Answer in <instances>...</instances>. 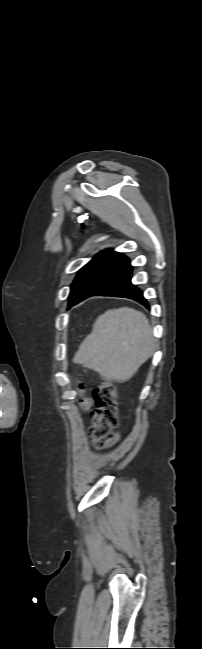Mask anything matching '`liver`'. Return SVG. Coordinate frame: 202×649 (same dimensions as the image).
<instances>
[{
	"instance_id": "obj_1",
	"label": "liver",
	"mask_w": 202,
	"mask_h": 649,
	"mask_svg": "<svg viewBox=\"0 0 202 649\" xmlns=\"http://www.w3.org/2000/svg\"><path fill=\"white\" fill-rule=\"evenodd\" d=\"M154 350L155 339L146 316L122 307L108 310L96 319L73 362L97 371L104 378L123 383Z\"/></svg>"
}]
</instances>
